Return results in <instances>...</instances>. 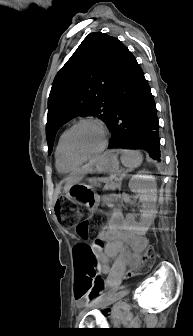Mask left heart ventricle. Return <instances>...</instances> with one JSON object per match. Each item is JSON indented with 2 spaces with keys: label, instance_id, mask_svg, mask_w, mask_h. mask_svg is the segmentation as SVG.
Instances as JSON below:
<instances>
[{
  "label": "left heart ventricle",
  "instance_id": "left-heart-ventricle-1",
  "mask_svg": "<svg viewBox=\"0 0 193 336\" xmlns=\"http://www.w3.org/2000/svg\"><path fill=\"white\" fill-rule=\"evenodd\" d=\"M104 140L101 129L90 123L78 126L70 135V147L79 155H89L97 151Z\"/></svg>",
  "mask_w": 193,
  "mask_h": 336
}]
</instances>
